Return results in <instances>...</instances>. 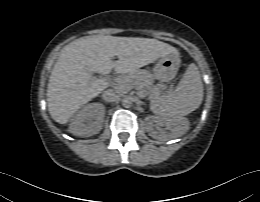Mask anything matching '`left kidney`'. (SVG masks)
Returning <instances> with one entry per match:
<instances>
[{"mask_svg":"<svg viewBox=\"0 0 260 202\" xmlns=\"http://www.w3.org/2000/svg\"><path fill=\"white\" fill-rule=\"evenodd\" d=\"M147 120L151 122V125L149 126L150 136L155 139H160L164 135L159 132V128L161 126H166L169 130H171V134L169 136L170 138H174L177 136L179 124L184 122L178 119L160 118L154 116L148 117Z\"/></svg>","mask_w":260,"mask_h":202,"instance_id":"obj_1","label":"left kidney"}]
</instances>
